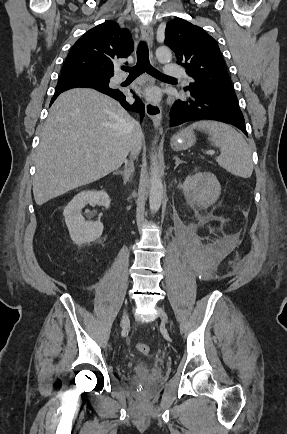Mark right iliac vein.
<instances>
[{
    "label": "right iliac vein",
    "mask_w": 287,
    "mask_h": 434,
    "mask_svg": "<svg viewBox=\"0 0 287 434\" xmlns=\"http://www.w3.org/2000/svg\"><path fill=\"white\" fill-rule=\"evenodd\" d=\"M129 323V317L126 310H124L122 318H121V327L127 325Z\"/></svg>",
    "instance_id": "63e3f726"
}]
</instances>
